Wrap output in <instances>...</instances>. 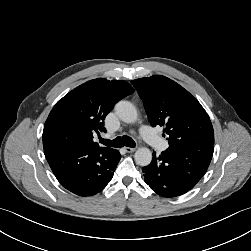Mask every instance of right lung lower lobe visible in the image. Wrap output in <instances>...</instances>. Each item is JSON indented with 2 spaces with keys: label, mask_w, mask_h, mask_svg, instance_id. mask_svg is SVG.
<instances>
[{
  "label": "right lung lower lobe",
  "mask_w": 251,
  "mask_h": 251,
  "mask_svg": "<svg viewBox=\"0 0 251 251\" xmlns=\"http://www.w3.org/2000/svg\"><path fill=\"white\" fill-rule=\"evenodd\" d=\"M59 183L79 196L100 192L112 179L121 158L114 150L109 156L99 149L56 147L44 150Z\"/></svg>",
  "instance_id": "1"
}]
</instances>
